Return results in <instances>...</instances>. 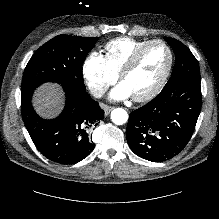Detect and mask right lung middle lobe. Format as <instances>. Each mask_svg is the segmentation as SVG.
<instances>
[{"label":"right lung middle lobe","mask_w":219,"mask_h":219,"mask_svg":"<svg viewBox=\"0 0 219 219\" xmlns=\"http://www.w3.org/2000/svg\"><path fill=\"white\" fill-rule=\"evenodd\" d=\"M98 37L58 35L40 47L28 62L22 79L21 95L32 93L45 82L85 89L82 66Z\"/></svg>","instance_id":"right-lung-middle-lobe-1"}]
</instances>
